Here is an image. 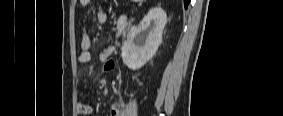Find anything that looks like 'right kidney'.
<instances>
[{
	"label": "right kidney",
	"mask_w": 283,
	"mask_h": 116,
	"mask_svg": "<svg viewBox=\"0 0 283 116\" xmlns=\"http://www.w3.org/2000/svg\"><path fill=\"white\" fill-rule=\"evenodd\" d=\"M166 22L165 11L155 7L143 18L138 28L130 31L121 48L123 63L129 69H139L152 59L162 42Z\"/></svg>",
	"instance_id": "1"
}]
</instances>
